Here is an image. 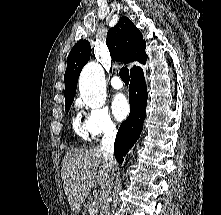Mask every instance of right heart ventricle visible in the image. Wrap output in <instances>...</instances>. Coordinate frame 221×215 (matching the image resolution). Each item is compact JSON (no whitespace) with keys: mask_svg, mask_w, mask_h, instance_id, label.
Returning a JSON list of instances; mask_svg holds the SVG:
<instances>
[{"mask_svg":"<svg viewBox=\"0 0 221 215\" xmlns=\"http://www.w3.org/2000/svg\"><path fill=\"white\" fill-rule=\"evenodd\" d=\"M73 128L75 130V132L81 136L82 138L86 139L87 138V133L85 131L84 125L81 123V120L78 116H76L73 119Z\"/></svg>","mask_w":221,"mask_h":215,"instance_id":"1","label":"right heart ventricle"}]
</instances>
